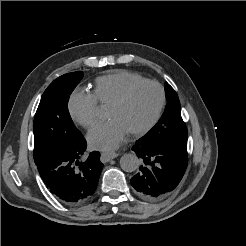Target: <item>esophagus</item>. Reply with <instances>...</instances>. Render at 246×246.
<instances>
[{"instance_id":"esophagus-1","label":"esophagus","mask_w":246,"mask_h":246,"mask_svg":"<svg viewBox=\"0 0 246 246\" xmlns=\"http://www.w3.org/2000/svg\"><path fill=\"white\" fill-rule=\"evenodd\" d=\"M117 157V154L114 152H103L101 153V161L106 163L112 159H115Z\"/></svg>"}]
</instances>
